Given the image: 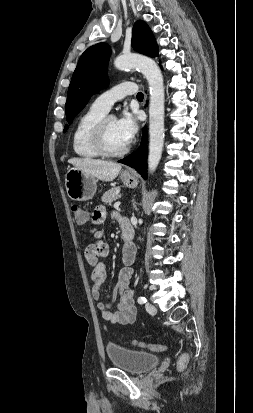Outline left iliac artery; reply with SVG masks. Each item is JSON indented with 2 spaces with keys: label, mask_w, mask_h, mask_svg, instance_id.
Here are the masks:
<instances>
[{
  "label": "left iliac artery",
  "mask_w": 253,
  "mask_h": 413,
  "mask_svg": "<svg viewBox=\"0 0 253 413\" xmlns=\"http://www.w3.org/2000/svg\"><path fill=\"white\" fill-rule=\"evenodd\" d=\"M137 301H138L139 304H144V303L147 302V299H146L144 296H140V297L137 299Z\"/></svg>",
  "instance_id": "left-iliac-artery-1"
}]
</instances>
